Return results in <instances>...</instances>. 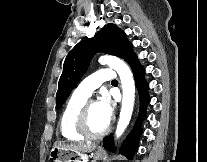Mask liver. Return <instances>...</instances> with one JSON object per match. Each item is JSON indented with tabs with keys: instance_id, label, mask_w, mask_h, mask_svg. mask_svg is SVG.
I'll return each instance as SVG.
<instances>
[{
	"instance_id": "1",
	"label": "liver",
	"mask_w": 207,
	"mask_h": 162,
	"mask_svg": "<svg viewBox=\"0 0 207 162\" xmlns=\"http://www.w3.org/2000/svg\"><path fill=\"white\" fill-rule=\"evenodd\" d=\"M54 147L69 150L75 153H87L93 151L97 145L92 143H60Z\"/></svg>"
}]
</instances>
